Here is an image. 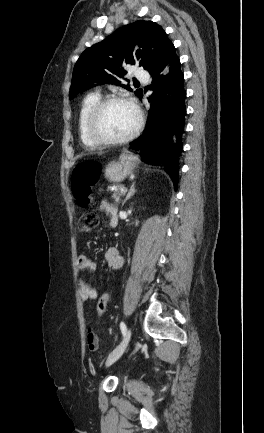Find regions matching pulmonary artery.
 Segmentation results:
<instances>
[{"label": "pulmonary artery", "instance_id": "e3ab8cb5", "mask_svg": "<svg viewBox=\"0 0 264 433\" xmlns=\"http://www.w3.org/2000/svg\"><path fill=\"white\" fill-rule=\"evenodd\" d=\"M135 77H136L138 80H145V79L148 78V74H147V72H146L145 70H143V69H137V70H135Z\"/></svg>", "mask_w": 264, "mask_h": 433}]
</instances>
